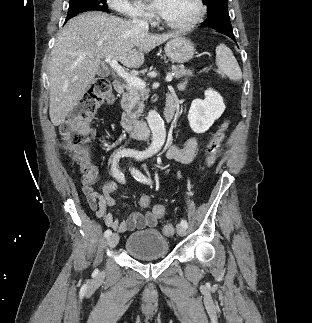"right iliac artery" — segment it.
Here are the masks:
<instances>
[{"label":"right iliac artery","mask_w":312,"mask_h":323,"mask_svg":"<svg viewBox=\"0 0 312 323\" xmlns=\"http://www.w3.org/2000/svg\"><path fill=\"white\" fill-rule=\"evenodd\" d=\"M128 156L127 152L120 151L114 154L112 160V172L114 177L120 182L125 183L124 174L117 169V162L119 161L120 157ZM112 234L110 229H107L104 233V236L108 238Z\"/></svg>","instance_id":"82829eb1"}]
</instances>
